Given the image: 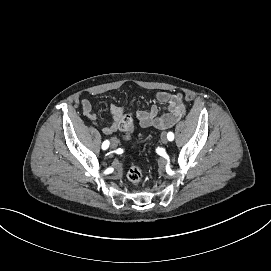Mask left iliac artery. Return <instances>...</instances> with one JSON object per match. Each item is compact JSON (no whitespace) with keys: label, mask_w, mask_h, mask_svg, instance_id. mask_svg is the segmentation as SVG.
<instances>
[{"label":"left iliac artery","mask_w":271,"mask_h":271,"mask_svg":"<svg viewBox=\"0 0 271 271\" xmlns=\"http://www.w3.org/2000/svg\"><path fill=\"white\" fill-rule=\"evenodd\" d=\"M167 137H168V140H169V141H172V140L174 139V134H173L172 132H169V133L167 134Z\"/></svg>","instance_id":"obj_1"}]
</instances>
